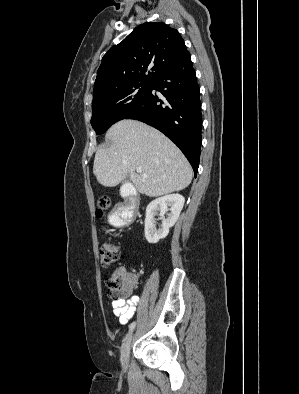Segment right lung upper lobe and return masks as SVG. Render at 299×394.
<instances>
[{"label":"right lung upper lobe","mask_w":299,"mask_h":394,"mask_svg":"<svg viewBox=\"0 0 299 394\" xmlns=\"http://www.w3.org/2000/svg\"><path fill=\"white\" fill-rule=\"evenodd\" d=\"M188 53L176 29L163 22L144 23L103 56L93 95L130 83H152Z\"/></svg>","instance_id":"right-lung-upper-lobe-1"}]
</instances>
